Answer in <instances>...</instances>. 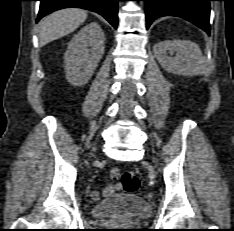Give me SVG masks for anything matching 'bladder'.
Segmentation results:
<instances>
[{
  "instance_id": "1",
  "label": "bladder",
  "mask_w": 234,
  "mask_h": 231,
  "mask_svg": "<svg viewBox=\"0 0 234 231\" xmlns=\"http://www.w3.org/2000/svg\"><path fill=\"white\" fill-rule=\"evenodd\" d=\"M91 212L96 218L128 216L147 218L151 213L149 203L133 194H116L111 198L93 206Z\"/></svg>"
}]
</instances>
